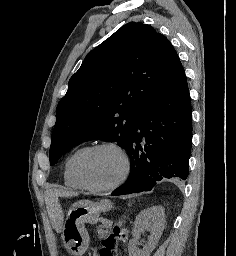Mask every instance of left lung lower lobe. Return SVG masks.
Segmentation results:
<instances>
[{"label":"left lung lower lobe","instance_id":"1","mask_svg":"<svg viewBox=\"0 0 236 256\" xmlns=\"http://www.w3.org/2000/svg\"><path fill=\"white\" fill-rule=\"evenodd\" d=\"M191 140V102L184 72L135 120L127 149L131 173L126 183L111 195L150 191L164 178L185 180Z\"/></svg>","mask_w":236,"mask_h":256}]
</instances>
